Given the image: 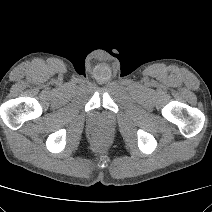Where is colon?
I'll list each match as a JSON object with an SVG mask.
<instances>
[{
	"label": "colon",
	"instance_id": "5ec220e1",
	"mask_svg": "<svg viewBox=\"0 0 212 212\" xmlns=\"http://www.w3.org/2000/svg\"><path fill=\"white\" fill-rule=\"evenodd\" d=\"M97 140H98V142H103V141H104V137L101 136V135H99V136L97 137Z\"/></svg>",
	"mask_w": 212,
	"mask_h": 212
}]
</instances>
